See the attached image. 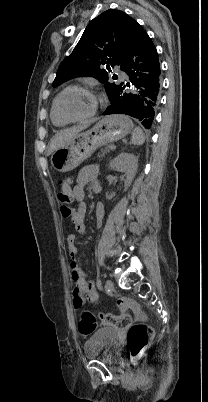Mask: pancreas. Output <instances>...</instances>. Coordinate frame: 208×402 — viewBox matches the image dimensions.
Returning a JSON list of instances; mask_svg holds the SVG:
<instances>
[{
    "label": "pancreas",
    "instance_id": "obj_1",
    "mask_svg": "<svg viewBox=\"0 0 208 402\" xmlns=\"http://www.w3.org/2000/svg\"><path fill=\"white\" fill-rule=\"evenodd\" d=\"M112 146H107V148H103V150H101L99 156H105L106 152H109V150H111Z\"/></svg>",
    "mask_w": 208,
    "mask_h": 402
}]
</instances>
